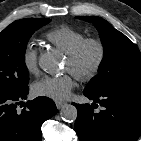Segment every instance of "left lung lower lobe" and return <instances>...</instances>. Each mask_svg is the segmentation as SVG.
<instances>
[{
	"label": "left lung lower lobe",
	"mask_w": 141,
	"mask_h": 141,
	"mask_svg": "<svg viewBox=\"0 0 141 141\" xmlns=\"http://www.w3.org/2000/svg\"><path fill=\"white\" fill-rule=\"evenodd\" d=\"M100 103L73 104L78 111L75 130L80 141H136L141 135V89L111 88L101 93L83 92Z\"/></svg>",
	"instance_id": "1"
}]
</instances>
